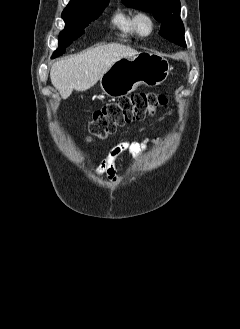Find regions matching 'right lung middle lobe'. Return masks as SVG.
<instances>
[{"label":"right lung middle lobe","mask_w":240,"mask_h":329,"mask_svg":"<svg viewBox=\"0 0 240 329\" xmlns=\"http://www.w3.org/2000/svg\"><path fill=\"white\" fill-rule=\"evenodd\" d=\"M108 2L109 0H105L89 6L66 7L62 13L66 26L59 34V48L54 52L52 58L63 54L65 48L84 33V28L98 18Z\"/></svg>","instance_id":"dd1d6c3e"}]
</instances>
